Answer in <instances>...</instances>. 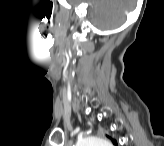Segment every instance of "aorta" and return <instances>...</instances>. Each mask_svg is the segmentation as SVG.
Here are the masks:
<instances>
[{
	"instance_id": "obj_1",
	"label": "aorta",
	"mask_w": 164,
	"mask_h": 146,
	"mask_svg": "<svg viewBox=\"0 0 164 146\" xmlns=\"http://www.w3.org/2000/svg\"><path fill=\"white\" fill-rule=\"evenodd\" d=\"M109 142L107 140L97 138V137H88L79 142V146H108Z\"/></svg>"
}]
</instances>
